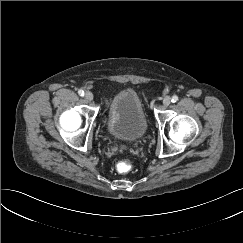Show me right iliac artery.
<instances>
[{
    "mask_svg": "<svg viewBox=\"0 0 243 243\" xmlns=\"http://www.w3.org/2000/svg\"><path fill=\"white\" fill-rule=\"evenodd\" d=\"M78 94H79L80 96H84V91H83V90H79V91H78Z\"/></svg>",
    "mask_w": 243,
    "mask_h": 243,
    "instance_id": "1",
    "label": "right iliac artery"
}]
</instances>
